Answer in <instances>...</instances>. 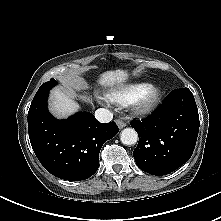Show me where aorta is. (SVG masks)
I'll return each instance as SVG.
<instances>
[{
  "label": "aorta",
  "instance_id": "obj_1",
  "mask_svg": "<svg viewBox=\"0 0 221 221\" xmlns=\"http://www.w3.org/2000/svg\"><path fill=\"white\" fill-rule=\"evenodd\" d=\"M120 140L124 145H134L138 141V134L133 128H125L120 134Z\"/></svg>",
  "mask_w": 221,
  "mask_h": 221
}]
</instances>
